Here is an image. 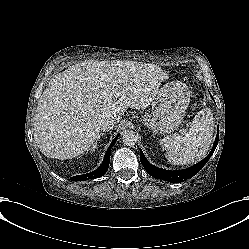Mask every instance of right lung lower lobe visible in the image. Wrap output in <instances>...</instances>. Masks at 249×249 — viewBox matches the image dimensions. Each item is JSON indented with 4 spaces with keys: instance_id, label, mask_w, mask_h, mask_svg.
I'll return each mask as SVG.
<instances>
[{
    "instance_id": "98d812e1",
    "label": "right lung lower lobe",
    "mask_w": 249,
    "mask_h": 249,
    "mask_svg": "<svg viewBox=\"0 0 249 249\" xmlns=\"http://www.w3.org/2000/svg\"><path fill=\"white\" fill-rule=\"evenodd\" d=\"M118 136L119 135H117L115 137V139L111 142V144H110V146L105 154L104 160L98 169H96L95 171H93L91 173L75 176V177H73V179L77 180V181H83V180L95 179V178H99V177L103 176L109 167L110 153H111L110 149L116 143Z\"/></svg>"
}]
</instances>
